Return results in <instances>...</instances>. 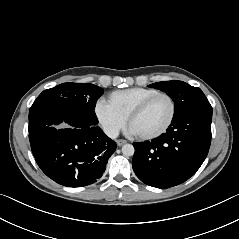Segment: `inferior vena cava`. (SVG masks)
Listing matches in <instances>:
<instances>
[{
	"label": "inferior vena cava",
	"instance_id": "inferior-vena-cava-1",
	"mask_svg": "<svg viewBox=\"0 0 239 239\" xmlns=\"http://www.w3.org/2000/svg\"><path fill=\"white\" fill-rule=\"evenodd\" d=\"M103 131L111 139H116L119 135V130L115 126L105 125L103 126Z\"/></svg>",
	"mask_w": 239,
	"mask_h": 239
}]
</instances>
